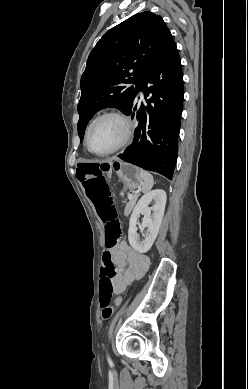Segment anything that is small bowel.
<instances>
[{"label": "small bowel", "mask_w": 248, "mask_h": 389, "mask_svg": "<svg viewBox=\"0 0 248 389\" xmlns=\"http://www.w3.org/2000/svg\"><path fill=\"white\" fill-rule=\"evenodd\" d=\"M110 253L118 267V274L113 280V292L119 295L128 285L145 275L150 260L147 255L134 250L126 241H121L112 247Z\"/></svg>", "instance_id": "1"}]
</instances>
